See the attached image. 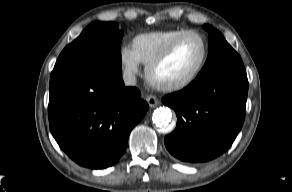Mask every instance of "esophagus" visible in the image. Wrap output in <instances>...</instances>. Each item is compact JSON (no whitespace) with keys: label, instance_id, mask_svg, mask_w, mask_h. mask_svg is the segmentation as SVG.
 Segmentation results:
<instances>
[{"label":"esophagus","instance_id":"esophagus-1","mask_svg":"<svg viewBox=\"0 0 292 192\" xmlns=\"http://www.w3.org/2000/svg\"><path fill=\"white\" fill-rule=\"evenodd\" d=\"M146 101L151 108H154L159 104V100L153 95L147 96Z\"/></svg>","mask_w":292,"mask_h":192}]
</instances>
